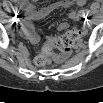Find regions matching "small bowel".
Wrapping results in <instances>:
<instances>
[{
    "instance_id": "small-bowel-1",
    "label": "small bowel",
    "mask_w": 103,
    "mask_h": 103,
    "mask_svg": "<svg viewBox=\"0 0 103 103\" xmlns=\"http://www.w3.org/2000/svg\"><path fill=\"white\" fill-rule=\"evenodd\" d=\"M17 4L24 11V18L21 24V35L32 43L39 42L41 38L40 33L33 28L34 20L42 19L56 10L69 8L72 5L69 1H56L43 7H36L34 4L26 0L18 1ZM77 4L83 6L85 0H79L77 1ZM93 7L95 8L97 6L94 4ZM68 26V23L62 22L58 25V29L65 30ZM64 57L65 55H62L61 59Z\"/></svg>"
}]
</instances>
